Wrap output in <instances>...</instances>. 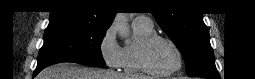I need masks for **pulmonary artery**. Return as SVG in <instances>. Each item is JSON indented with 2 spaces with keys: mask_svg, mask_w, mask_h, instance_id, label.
<instances>
[{
  "mask_svg": "<svg viewBox=\"0 0 255 79\" xmlns=\"http://www.w3.org/2000/svg\"><path fill=\"white\" fill-rule=\"evenodd\" d=\"M133 25H141L145 27H152L151 20L145 15H139L133 19Z\"/></svg>",
  "mask_w": 255,
  "mask_h": 79,
  "instance_id": "obj_1",
  "label": "pulmonary artery"
}]
</instances>
